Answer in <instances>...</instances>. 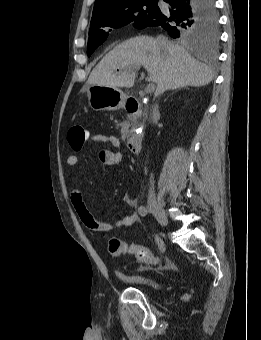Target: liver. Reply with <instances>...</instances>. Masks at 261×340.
Listing matches in <instances>:
<instances>
[{
  "label": "liver",
  "mask_w": 261,
  "mask_h": 340,
  "mask_svg": "<svg viewBox=\"0 0 261 340\" xmlns=\"http://www.w3.org/2000/svg\"><path fill=\"white\" fill-rule=\"evenodd\" d=\"M139 66L147 70L146 80L156 83L155 96L180 87L204 86L213 79L212 70L183 47L169 42L161 48L157 39L138 36L107 53L92 70L87 85L131 88L136 78L134 69Z\"/></svg>",
  "instance_id": "obj_1"
}]
</instances>
